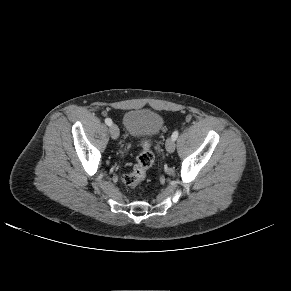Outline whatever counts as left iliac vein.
Instances as JSON below:
<instances>
[{
    "instance_id": "left-iliac-vein-1",
    "label": "left iliac vein",
    "mask_w": 291,
    "mask_h": 291,
    "mask_svg": "<svg viewBox=\"0 0 291 291\" xmlns=\"http://www.w3.org/2000/svg\"><path fill=\"white\" fill-rule=\"evenodd\" d=\"M166 150L169 153L174 152L176 144H175V140H173L172 138H168L166 140V144H165Z\"/></svg>"
}]
</instances>
